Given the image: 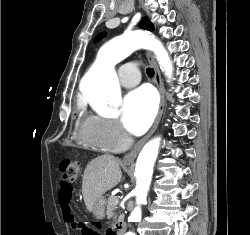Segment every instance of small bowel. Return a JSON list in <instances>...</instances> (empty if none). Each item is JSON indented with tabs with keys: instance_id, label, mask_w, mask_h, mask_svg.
I'll return each instance as SVG.
<instances>
[{
	"instance_id": "small-bowel-1",
	"label": "small bowel",
	"mask_w": 250,
	"mask_h": 235,
	"mask_svg": "<svg viewBox=\"0 0 250 235\" xmlns=\"http://www.w3.org/2000/svg\"><path fill=\"white\" fill-rule=\"evenodd\" d=\"M70 200H71V191H59L58 193V205L60 206L63 215L65 216L68 213L69 210V204H70ZM92 235H97V233L93 230H90ZM81 235H85L82 234L80 232Z\"/></svg>"
}]
</instances>
